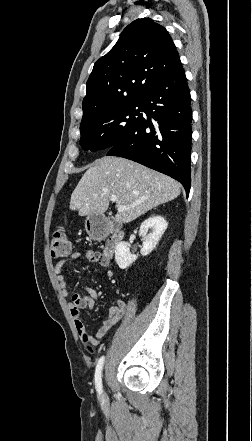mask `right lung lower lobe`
Segmentation results:
<instances>
[{
    "label": "right lung lower lobe",
    "mask_w": 252,
    "mask_h": 441,
    "mask_svg": "<svg viewBox=\"0 0 252 441\" xmlns=\"http://www.w3.org/2000/svg\"><path fill=\"white\" fill-rule=\"evenodd\" d=\"M141 101L146 117L142 116L129 135L112 146L107 155L124 157L171 176L184 186L188 196L192 110L181 62L154 84Z\"/></svg>",
    "instance_id": "1"
}]
</instances>
